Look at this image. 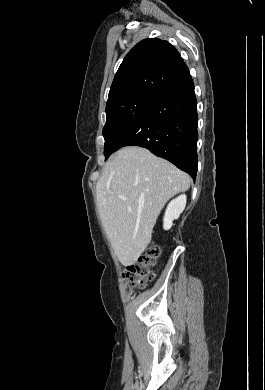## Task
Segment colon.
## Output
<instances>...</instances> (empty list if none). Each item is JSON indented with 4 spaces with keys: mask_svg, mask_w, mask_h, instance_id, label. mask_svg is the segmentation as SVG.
<instances>
[{
    "mask_svg": "<svg viewBox=\"0 0 265 390\" xmlns=\"http://www.w3.org/2000/svg\"><path fill=\"white\" fill-rule=\"evenodd\" d=\"M160 248L151 244L147 250L138 257L136 262L129 265L124 274L125 279L132 288H143L155 276Z\"/></svg>",
    "mask_w": 265,
    "mask_h": 390,
    "instance_id": "obj_1",
    "label": "colon"
}]
</instances>
